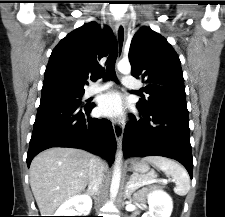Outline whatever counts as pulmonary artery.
<instances>
[{
    "instance_id": "pulmonary-artery-1",
    "label": "pulmonary artery",
    "mask_w": 225,
    "mask_h": 217,
    "mask_svg": "<svg viewBox=\"0 0 225 217\" xmlns=\"http://www.w3.org/2000/svg\"><path fill=\"white\" fill-rule=\"evenodd\" d=\"M123 83H124L125 86H127L129 88H135L136 87L135 81L130 77L124 78ZM110 86H111V84L109 82L101 83V84H94L87 89L86 96H88V97L92 96V95H94L98 92H101L103 90L108 89Z\"/></svg>"
}]
</instances>
